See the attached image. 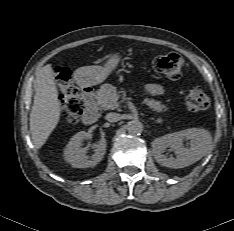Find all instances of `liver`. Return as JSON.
<instances>
[{
  "label": "liver",
  "instance_id": "1",
  "mask_svg": "<svg viewBox=\"0 0 234 231\" xmlns=\"http://www.w3.org/2000/svg\"><path fill=\"white\" fill-rule=\"evenodd\" d=\"M51 64L44 66L35 84L34 103L30 113V131L36 149H40L57 126L61 103Z\"/></svg>",
  "mask_w": 234,
  "mask_h": 231
}]
</instances>
